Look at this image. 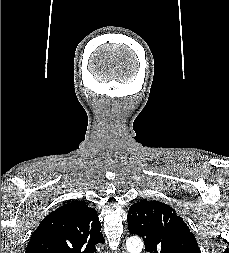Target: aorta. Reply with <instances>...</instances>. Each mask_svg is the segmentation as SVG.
<instances>
[{"mask_svg": "<svg viewBox=\"0 0 229 253\" xmlns=\"http://www.w3.org/2000/svg\"><path fill=\"white\" fill-rule=\"evenodd\" d=\"M129 253H140L143 249V242L139 237H130L126 242Z\"/></svg>", "mask_w": 229, "mask_h": 253, "instance_id": "aorta-1", "label": "aorta"}]
</instances>
